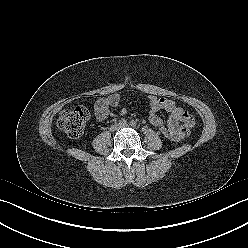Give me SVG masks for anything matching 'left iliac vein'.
I'll return each instance as SVG.
<instances>
[{"mask_svg":"<svg viewBox=\"0 0 248 248\" xmlns=\"http://www.w3.org/2000/svg\"><path fill=\"white\" fill-rule=\"evenodd\" d=\"M128 125L125 123V124H121L120 127H127Z\"/></svg>","mask_w":248,"mask_h":248,"instance_id":"1","label":"left iliac vein"}]
</instances>
